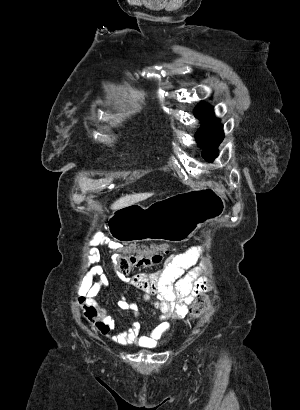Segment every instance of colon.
<instances>
[{
    "label": "colon",
    "instance_id": "colon-1",
    "mask_svg": "<svg viewBox=\"0 0 300 410\" xmlns=\"http://www.w3.org/2000/svg\"><path fill=\"white\" fill-rule=\"evenodd\" d=\"M163 249L140 248L124 254L113 256V266L124 275H128L135 269H146L159 266L164 260ZM210 302L205 294L199 293L190 308V315L200 317L209 308Z\"/></svg>",
    "mask_w": 300,
    "mask_h": 410
}]
</instances>
